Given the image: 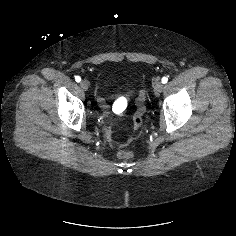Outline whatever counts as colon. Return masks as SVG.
Returning a JSON list of instances; mask_svg holds the SVG:
<instances>
[{
	"label": "colon",
	"instance_id": "1",
	"mask_svg": "<svg viewBox=\"0 0 236 236\" xmlns=\"http://www.w3.org/2000/svg\"><path fill=\"white\" fill-rule=\"evenodd\" d=\"M144 111H145V109H144V105H143V96H140L138 99L137 110L134 115V128L135 129H139L141 127ZM117 155L119 158L125 159V158L131 157L132 154H131V152H129L127 150H120Z\"/></svg>",
	"mask_w": 236,
	"mask_h": 236
}]
</instances>
